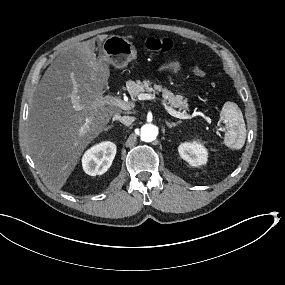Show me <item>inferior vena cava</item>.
Returning a JSON list of instances; mask_svg holds the SVG:
<instances>
[{
  "label": "inferior vena cava",
  "mask_w": 285,
  "mask_h": 285,
  "mask_svg": "<svg viewBox=\"0 0 285 285\" xmlns=\"http://www.w3.org/2000/svg\"><path fill=\"white\" fill-rule=\"evenodd\" d=\"M117 120H119L124 125L129 126L133 123L134 117L117 115Z\"/></svg>",
  "instance_id": "inferior-vena-cava-1"
}]
</instances>
